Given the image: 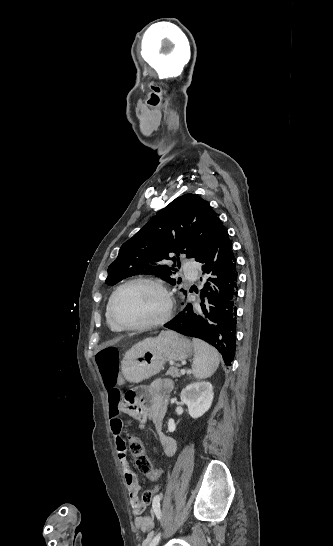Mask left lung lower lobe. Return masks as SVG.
Segmentation results:
<instances>
[{"label":"left lung lower lobe","mask_w":333,"mask_h":546,"mask_svg":"<svg viewBox=\"0 0 333 546\" xmlns=\"http://www.w3.org/2000/svg\"><path fill=\"white\" fill-rule=\"evenodd\" d=\"M202 264L204 273L210 274L208 280L215 283L217 289L208 292L209 282L201 290V299L208 297V303L194 306L188 303L185 308L169 323L166 328L185 336L200 338L210 343L222 354L227 366L231 365L235 355L237 308L236 259L228 232L218 219L213 235L207 247L196 259ZM184 295L186 292L183 291Z\"/></svg>","instance_id":"left-lung-lower-lobe-1"}]
</instances>
